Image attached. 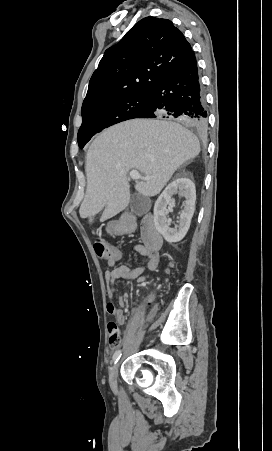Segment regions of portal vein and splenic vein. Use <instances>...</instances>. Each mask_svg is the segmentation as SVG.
Listing matches in <instances>:
<instances>
[{"label":"portal vein and splenic vein","instance_id":"portal-vein-and-splenic-vein-1","mask_svg":"<svg viewBox=\"0 0 272 451\" xmlns=\"http://www.w3.org/2000/svg\"><path fill=\"white\" fill-rule=\"evenodd\" d=\"M129 176L131 180H148V178H144V176H141L138 170H131Z\"/></svg>","mask_w":272,"mask_h":451}]
</instances>
